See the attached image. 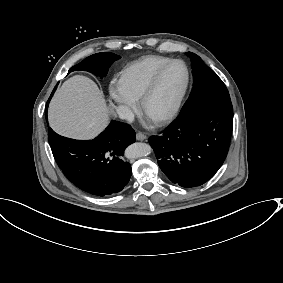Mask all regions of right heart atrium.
Instances as JSON below:
<instances>
[{"label":"right heart atrium","mask_w":283,"mask_h":283,"mask_svg":"<svg viewBox=\"0 0 283 283\" xmlns=\"http://www.w3.org/2000/svg\"><path fill=\"white\" fill-rule=\"evenodd\" d=\"M108 95L124 118L130 117L137 108L136 101L126 93L120 80L112 79L109 82Z\"/></svg>","instance_id":"right-heart-atrium-1"}]
</instances>
